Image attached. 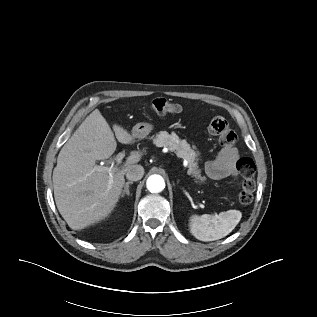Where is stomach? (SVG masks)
Returning a JSON list of instances; mask_svg holds the SVG:
<instances>
[{
	"mask_svg": "<svg viewBox=\"0 0 317 317\" xmlns=\"http://www.w3.org/2000/svg\"><path fill=\"white\" fill-rule=\"evenodd\" d=\"M154 126L150 123H138L133 127V134L136 135V138L143 139L145 138L152 130Z\"/></svg>",
	"mask_w": 317,
	"mask_h": 317,
	"instance_id": "obj_1",
	"label": "stomach"
}]
</instances>
